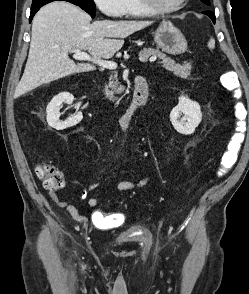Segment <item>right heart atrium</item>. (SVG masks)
<instances>
[{
	"instance_id": "d8ad5b80",
	"label": "right heart atrium",
	"mask_w": 249,
	"mask_h": 294,
	"mask_svg": "<svg viewBox=\"0 0 249 294\" xmlns=\"http://www.w3.org/2000/svg\"><path fill=\"white\" fill-rule=\"evenodd\" d=\"M96 6L107 16H120L122 0H94Z\"/></svg>"
}]
</instances>
